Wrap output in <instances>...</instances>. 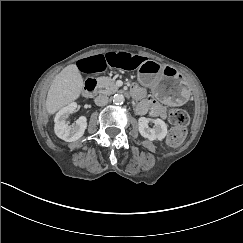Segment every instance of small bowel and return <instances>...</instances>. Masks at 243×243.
<instances>
[{
	"mask_svg": "<svg viewBox=\"0 0 243 243\" xmlns=\"http://www.w3.org/2000/svg\"><path fill=\"white\" fill-rule=\"evenodd\" d=\"M145 58L140 55L131 54L128 52H107L95 54L79 61V68L86 73H96L106 70L107 68H118L124 70L136 69ZM134 94L138 97L144 95L143 90L135 86ZM139 114L149 112L154 117H165V108L156 100L147 98L140 102L137 106Z\"/></svg>",
	"mask_w": 243,
	"mask_h": 243,
	"instance_id": "1",
	"label": "small bowel"
}]
</instances>
